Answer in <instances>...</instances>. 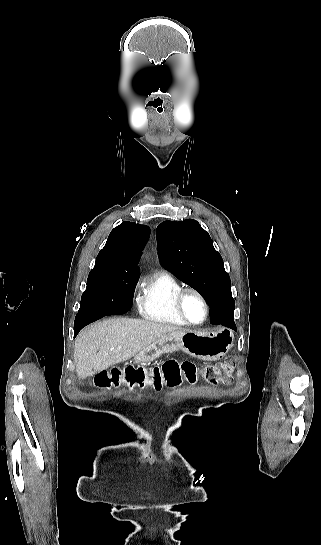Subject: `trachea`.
Instances as JSON below:
<instances>
[{
	"mask_svg": "<svg viewBox=\"0 0 321 545\" xmlns=\"http://www.w3.org/2000/svg\"><path fill=\"white\" fill-rule=\"evenodd\" d=\"M156 112L161 113L163 111V108L161 106L156 107Z\"/></svg>",
	"mask_w": 321,
	"mask_h": 545,
	"instance_id": "trachea-1",
	"label": "trachea"
}]
</instances>
